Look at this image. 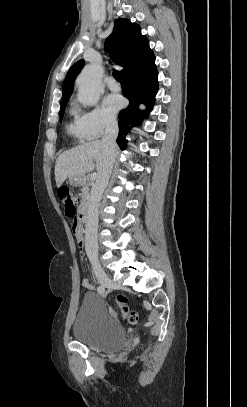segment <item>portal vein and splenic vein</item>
<instances>
[{
    "label": "portal vein and splenic vein",
    "mask_w": 247,
    "mask_h": 407,
    "mask_svg": "<svg viewBox=\"0 0 247 407\" xmlns=\"http://www.w3.org/2000/svg\"><path fill=\"white\" fill-rule=\"evenodd\" d=\"M96 178H97V174H96V173H92V174L90 175V180H91V181L95 180Z\"/></svg>",
    "instance_id": "obj_1"
}]
</instances>
